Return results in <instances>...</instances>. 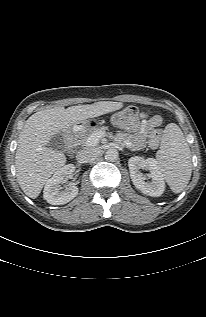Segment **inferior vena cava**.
Returning <instances> with one entry per match:
<instances>
[{"instance_id": "inferior-vena-cava-1", "label": "inferior vena cava", "mask_w": 206, "mask_h": 317, "mask_svg": "<svg viewBox=\"0 0 206 317\" xmlns=\"http://www.w3.org/2000/svg\"><path fill=\"white\" fill-rule=\"evenodd\" d=\"M95 155V152L91 149H83L77 153V161L79 163H87L89 162Z\"/></svg>"}]
</instances>
